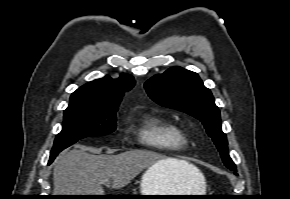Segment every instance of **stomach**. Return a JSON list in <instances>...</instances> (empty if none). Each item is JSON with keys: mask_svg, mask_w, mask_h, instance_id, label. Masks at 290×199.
<instances>
[{"mask_svg": "<svg viewBox=\"0 0 290 199\" xmlns=\"http://www.w3.org/2000/svg\"><path fill=\"white\" fill-rule=\"evenodd\" d=\"M180 179L176 175L168 174L159 164L148 168L141 177V195H202L205 191V179L201 172L196 174L193 181L194 189L190 193H176ZM157 199H194V197H150Z\"/></svg>", "mask_w": 290, "mask_h": 199, "instance_id": "1", "label": "stomach"}]
</instances>
